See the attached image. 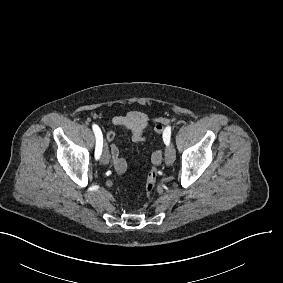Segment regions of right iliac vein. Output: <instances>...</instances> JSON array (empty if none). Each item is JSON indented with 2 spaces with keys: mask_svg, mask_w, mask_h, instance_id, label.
Masks as SVG:
<instances>
[{
  "mask_svg": "<svg viewBox=\"0 0 283 283\" xmlns=\"http://www.w3.org/2000/svg\"><path fill=\"white\" fill-rule=\"evenodd\" d=\"M110 160L109 152L106 147H104L102 155H101V163L103 165H108Z\"/></svg>",
  "mask_w": 283,
  "mask_h": 283,
  "instance_id": "right-iliac-vein-1",
  "label": "right iliac vein"
}]
</instances>
